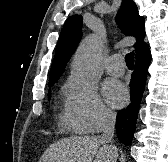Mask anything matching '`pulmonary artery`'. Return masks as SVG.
<instances>
[{
  "instance_id": "e3ab8cb5",
  "label": "pulmonary artery",
  "mask_w": 168,
  "mask_h": 162,
  "mask_svg": "<svg viewBox=\"0 0 168 162\" xmlns=\"http://www.w3.org/2000/svg\"><path fill=\"white\" fill-rule=\"evenodd\" d=\"M106 71L113 76H121L125 72L124 61L119 54L110 56L105 65Z\"/></svg>"
}]
</instances>
